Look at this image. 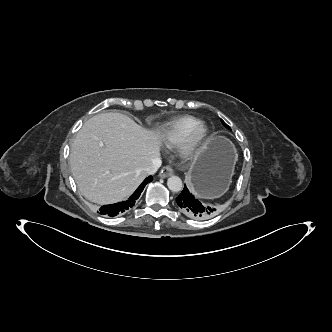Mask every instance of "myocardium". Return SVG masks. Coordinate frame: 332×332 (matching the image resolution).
<instances>
[{"label":"myocardium","mask_w":332,"mask_h":332,"mask_svg":"<svg viewBox=\"0 0 332 332\" xmlns=\"http://www.w3.org/2000/svg\"><path fill=\"white\" fill-rule=\"evenodd\" d=\"M210 135L208 125L205 122H199L180 142V154L186 159L196 157L208 142Z\"/></svg>","instance_id":"f54148a6"}]
</instances>
